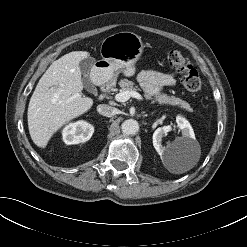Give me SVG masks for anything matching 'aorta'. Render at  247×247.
Instances as JSON below:
<instances>
[{
	"mask_svg": "<svg viewBox=\"0 0 247 247\" xmlns=\"http://www.w3.org/2000/svg\"><path fill=\"white\" fill-rule=\"evenodd\" d=\"M122 132L126 135L136 134L139 130V123L134 119H127L121 125Z\"/></svg>",
	"mask_w": 247,
	"mask_h": 247,
	"instance_id": "762f6f07",
	"label": "aorta"
}]
</instances>
